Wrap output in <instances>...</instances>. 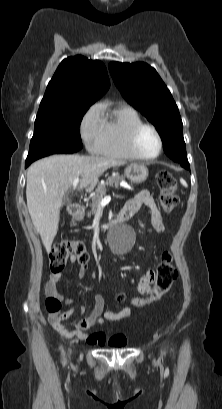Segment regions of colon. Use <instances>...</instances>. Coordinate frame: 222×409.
Here are the masks:
<instances>
[{"mask_svg":"<svg viewBox=\"0 0 222 409\" xmlns=\"http://www.w3.org/2000/svg\"><path fill=\"white\" fill-rule=\"evenodd\" d=\"M156 182L160 192V207L164 213H171L179 203L177 181L170 172L161 171L157 174ZM72 256L78 260L80 265L83 267L87 266L90 256L86 244L83 241L65 239L56 243L49 253L51 272L56 274L63 271ZM154 270L157 274L155 283L151 284L150 289H147L148 295L146 297L139 295L133 299L134 306L143 307L153 300L158 299L170 288L177 275L172 256L169 253L163 255L162 262ZM119 298L123 299L124 296L121 295ZM45 304L50 314H59L61 310L60 300L55 297H48Z\"/></svg>","mask_w":222,"mask_h":409,"instance_id":"5ec220e1","label":"colon"}]
</instances>
